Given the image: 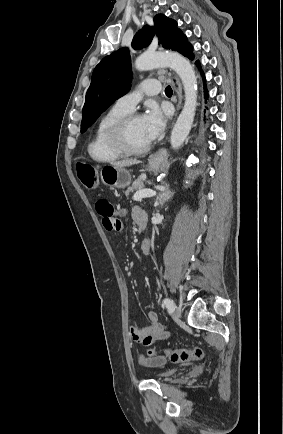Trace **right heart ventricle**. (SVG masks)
I'll list each match as a JSON object with an SVG mask.
<instances>
[{"mask_svg":"<svg viewBox=\"0 0 283 434\" xmlns=\"http://www.w3.org/2000/svg\"><path fill=\"white\" fill-rule=\"evenodd\" d=\"M129 112L113 106L98 121L88 144V154L96 162L111 163L125 155L115 150L108 138L112 125Z\"/></svg>","mask_w":283,"mask_h":434,"instance_id":"1","label":"right heart ventricle"}]
</instances>
